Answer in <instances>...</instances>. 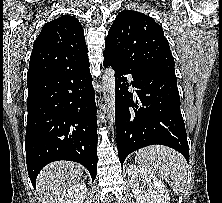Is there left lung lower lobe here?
I'll return each instance as SVG.
<instances>
[{
  "label": "left lung lower lobe",
  "instance_id": "obj_1",
  "mask_svg": "<svg viewBox=\"0 0 222 203\" xmlns=\"http://www.w3.org/2000/svg\"><path fill=\"white\" fill-rule=\"evenodd\" d=\"M103 65H111L115 71V124L121 165L131 152L154 144L174 148L189 162L175 74L131 67L107 54ZM129 86L137 88L136 98L128 91Z\"/></svg>",
  "mask_w": 222,
  "mask_h": 203
}]
</instances>
